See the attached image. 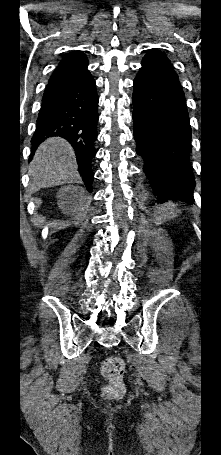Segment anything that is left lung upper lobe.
I'll return each mask as SVG.
<instances>
[{
	"instance_id": "1",
	"label": "left lung upper lobe",
	"mask_w": 221,
	"mask_h": 455,
	"mask_svg": "<svg viewBox=\"0 0 221 455\" xmlns=\"http://www.w3.org/2000/svg\"><path fill=\"white\" fill-rule=\"evenodd\" d=\"M142 65L150 66V67L161 66V67H164V68L172 71L173 73H175V71L172 69V67L170 65L169 59L158 51H149L144 56V58L142 60Z\"/></svg>"
}]
</instances>
